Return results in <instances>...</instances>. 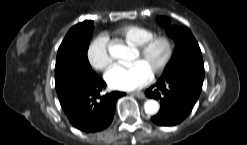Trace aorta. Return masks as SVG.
Masks as SVG:
<instances>
[{"instance_id":"1","label":"aorta","mask_w":247,"mask_h":145,"mask_svg":"<svg viewBox=\"0 0 247 145\" xmlns=\"http://www.w3.org/2000/svg\"><path fill=\"white\" fill-rule=\"evenodd\" d=\"M109 53L116 59H125L129 53V48L122 44H113L109 47ZM159 103L156 100L149 99L144 103V109L147 114L154 115L159 111Z\"/></svg>"}]
</instances>
